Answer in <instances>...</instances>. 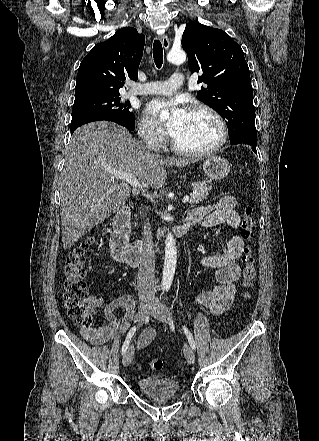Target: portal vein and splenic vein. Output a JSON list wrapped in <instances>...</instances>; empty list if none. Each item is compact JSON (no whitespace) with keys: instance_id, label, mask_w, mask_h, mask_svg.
<instances>
[{"instance_id":"18ae733b","label":"portal vein and splenic vein","mask_w":319,"mask_h":441,"mask_svg":"<svg viewBox=\"0 0 319 441\" xmlns=\"http://www.w3.org/2000/svg\"><path fill=\"white\" fill-rule=\"evenodd\" d=\"M110 173L113 174L116 179H121L129 183L132 187L143 190L142 186L139 184L137 177L133 173L118 170H111ZM188 200L189 196L187 195L183 198L182 202L186 203L188 202Z\"/></svg>"}]
</instances>
